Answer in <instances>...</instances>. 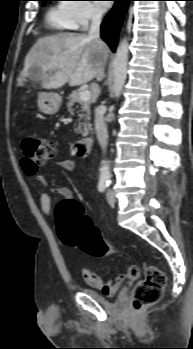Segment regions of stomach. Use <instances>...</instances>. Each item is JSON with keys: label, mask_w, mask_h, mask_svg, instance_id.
Instances as JSON below:
<instances>
[{"label": "stomach", "mask_w": 193, "mask_h": 349, "mask_svg": "<svg viewBox=\"0 0 193 349\" xmlns=\"http://www.w3.org/2000/svg\"><path fill=\"white\" fill-rule=\"evenodd\" d=\"M62 103V98L55 92H41L38 95V107L40 111L47 115H54L58 112Z\"/></svg>", "instance_id": "0dacf381"}]
</instances>
